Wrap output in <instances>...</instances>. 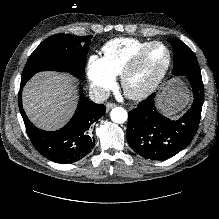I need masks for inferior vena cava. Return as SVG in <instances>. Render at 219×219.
<instances>
[{"label": "inferior vena cava", "instance_id": "602c4592", "mask_svg": "<svg viewBox=\"0 0 219 219\" xmlns=\"http://www.w3.org/2000/svg\"><path fill=\"white\" fill-rule=\"evenodd\" d=\"M89 96L93 102L102 103L109 98L110 91L99 86H92L89 90Z\"/></svg>", "mask_w": 219, "mask_h": 219}]
</instances>
